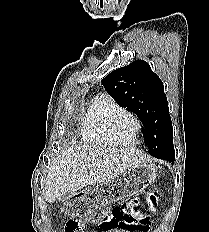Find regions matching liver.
<instances>
[{"label":"liver","mask_w":209,"mask_h":232,"mask_svg":"<svg viewBox=\"0 0 209 232\" xmlns=\"http://www.w3.org/2000/svg\"><path fill=\"white\" fill-rule=\"evenodd\" d=\"M149 161L136 149L105 148L91 145L69 147L53 161L44 185V198L54 202L65 193L88 185L106 183L131 167Z\"/></svg>","instance_id":"1"}]
</instances>
